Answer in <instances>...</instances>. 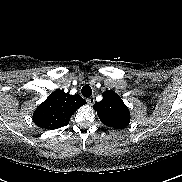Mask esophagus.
<instances>
[{
  "label": "esophagus",
  "instance_id": "34e87169",
  "mask_svg": "<svg viewBox=\"0 0 182 182\" xmlns=\"http://www.w3.org/2000/svg\"><path fill=\"white\" fill-rule=\"evenodd\" d=\"M86 101L89 105H93L95 103V98L92 96L87 98Z\"/></svg>",
  "mask_w": 182,
  "mask_h": 182
}]
</instances>
